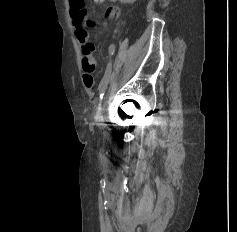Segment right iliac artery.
Instances as JSON below:
<instances>
[{
	"label": "right iliac artery",
	"instance_id": "right-iliac-artery-1",
	"mask_svg": "<svg viewBox=\"0 0 237 232\" xmlns=\"http://www.w3.org/2000/svg\"><path fill=\"white\" fill-rule=\"evenodd\" d=\"M114 52H115V45L111 44L109 46L110 61L107 65L105 74L103 76L102 82H101L100 87H99L100 101L103 99V96H104V93H105V90H106V87H107V84H108V81H109V78H110V75H111V70H112V60H111V58H112ZM99 106H100V104H99Z\"/></svg>",
	"mask_w": 237,
	"mask_h": 232
}]
</instances>
